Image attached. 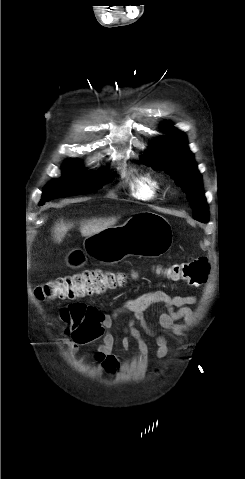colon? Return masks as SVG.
<instances>
[{"instance_id":"5ec220e1","label":"colon","mask_w":245,"mask_h":479,"mask_svg":"<svg viewBox=\"0 0 245 479\" xmlns=\"http://www.w3.org/2000/svg\"><path fill=\"white\" fill-rule=\"evenodd\" d=\"M209 271L208 259L197 257L170 265L164 273L173 281L202 285L207 281ZM126 282L125 273L106 269H87L44 282L35 288V295L40 300L82 299L122 287ZM87 310L86 304L78 302L62 309L59 314L66 325L65 333L73 339H78L79 333L85 329Z\"/></svg>"}]
</instances>
